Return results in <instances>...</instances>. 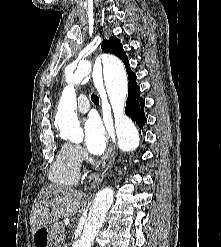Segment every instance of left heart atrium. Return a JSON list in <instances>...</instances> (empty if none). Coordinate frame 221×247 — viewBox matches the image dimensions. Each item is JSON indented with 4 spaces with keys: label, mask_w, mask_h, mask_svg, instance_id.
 Segmentation results:
<instances>
[{
    "label": "left heart atrium",
    "mask_w": 221,
    "mask_h": 247,
    "mask_svg": "<svg viewBox=\"0 0 221 247\" xmlns=\"http://www.w3.org/2000/svg\"><path fill=\"white\" fill-rule=\"evenodd\" d=\"M107 135L100 121L95 117H90L84 124V144L86 149L94 154H102L107 146Z\"/></svg>",
    "instance_id": "1"
}]
</instances>
